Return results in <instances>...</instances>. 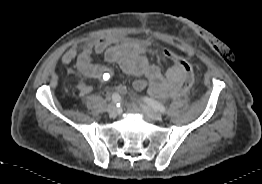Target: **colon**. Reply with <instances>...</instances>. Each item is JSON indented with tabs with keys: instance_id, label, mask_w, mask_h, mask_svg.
I'll return each instance as SVG.
<instances>
[{
	"instance_id": "1",
	"label": "colon",
	"mask_w": 262,
	"mask_h": 184,
	"mask_svg": "<svg viewBox=\"0 0 262 184\" xmlns=\"http://www.w3.org/2000/svg\"><path fill=\"white\" fill-rule=\"evenodd\" d=\"M172 58L182 68L184 75H183V79L180 82V84L172 92L171 97H180V96H183L190 89V87L193 84V81H194L193 65L185 57H183V56H181V55H179V54H177L175 52L173 53ZM118 89L122 93L125 92V87L122 86V85L119 86Z\"/></svg>"
}]
</instances>
